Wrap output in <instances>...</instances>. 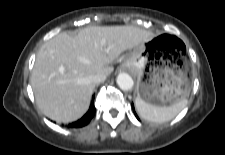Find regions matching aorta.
I'll return each instance as SVG.
<instances>
[{
    "mask_svg": "<svg viewBox=\"0 0 225 155\" xmlns=\"http://www.w3.org/2000/svg\"><path fill=\"white\" fill-rule=\"evenodd\" d=\"M117 84L122 90L127 91L133 88L134 81L129 74L120 73L117 76Z\"/></svg>",
    "mask_w": 225,
    "mask_h": 155,
    "instance_id": "1",
    "label": "aorta"
}]
</instances>
